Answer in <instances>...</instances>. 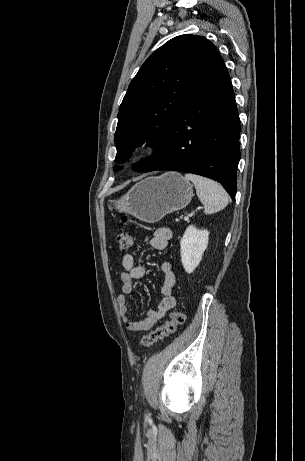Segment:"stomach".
Returning <instances> with one entry per match:
<instances>
[{
	"mask_svg": "<svg viewBox=\"0 0 305 461\" xmlns=\"http://www.w3.org/2000/svg\"><path fill=\"white\" fill-rule=\"evenodd\" d=\"M193 197V185L177 172L147 177L135 184L113 205L120 213H128L147 223H154L166 214L185 208Z\"/></svg>",
	"mask_w": 305,
	"mask_h": 461,
	"instance_id": "stomach-1",
	"label": "stomach"
}]
</instances>
